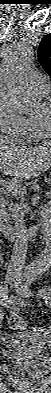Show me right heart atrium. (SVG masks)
Listing matches in <instances>:
<instances>
[{"instance_id": "d8ad5b80", "label": "right heart atrium", "mask_w": 51, "mask_h": 393, "mask_svg": "<svg viewBox=\"0 0 51 393\" xmlns=\"http://www.w3.org/2000/svg\"><path fill=\"white\" fill-rule=\"evenodd\" d=\"M26 117L19 114L4 98L0 99V131L14 138H25Z\"/></svg>"}]
</instances>
